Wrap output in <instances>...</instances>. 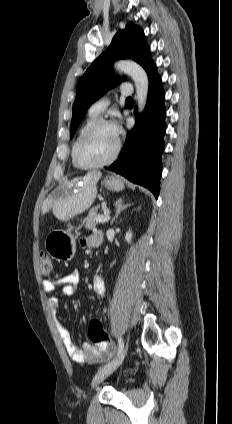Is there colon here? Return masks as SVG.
I'll return each mask as SVG.
<instances>
[{"label":"colon","instance_id":"obj_1","mask_svg":"<svg viewBox=\"0 0 232 424\" xmlns=\"http://www.w3.org/2000/svg\"><path fill=\"white\" fill-rule=\"evenodd\" d=\"M41 269L44 275H50L53 272V263L50 257L45 253H40ZM88 338L97 345L108 343V335L103 328V324L99 318H92L88 324Z\"/></svg>","mask_w":232,"mask_h":424}]
</instances>
